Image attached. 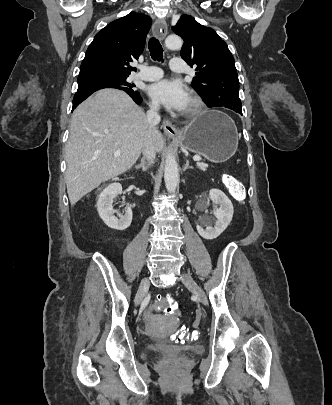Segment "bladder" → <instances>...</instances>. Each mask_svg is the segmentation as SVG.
<instances>
[{
    "mask_svg": "<svg viewBox=\"0 0 332 405\" xmlns=\"http://www.w3.org/2000/svg\"><path fill=\"white\" fill-rule=\"evenodd\" d=\"M155 340H157V338H154ZM159 349V348H157ZM155 348H146L143 352V357L147 358L153 351L157 350ZM167 349H171V350H181V351H187V352H191V353H199V348L197 347H182V348H177V347H169Z\"/></svg>",
    "mask_w": 332,
    "mask_h": 405,
    "instance_id": "31cf9c89",
    "label": "bladder"
}]
</instances>
